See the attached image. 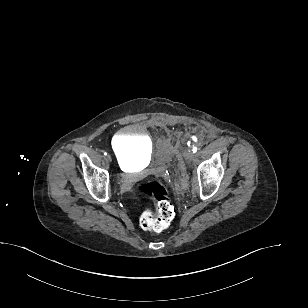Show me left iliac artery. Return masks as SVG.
<instances>
[{
  "label": "left iliac artery",
  "mask_w": 308,
  "mask_h": 308,
  "mask_svg": "<svg viewBox=\"0 0 308 308\" xmlns=\"http://www.w3.org/2000/svg\"><path fill=\"white\" fill-rule=\"evenodd\" d=\"M197 150H198V148H197L196 146H194V147L192 148L193 153H196Z\"/></svg>",
  "instance_id": "1"
}]
</instances>
